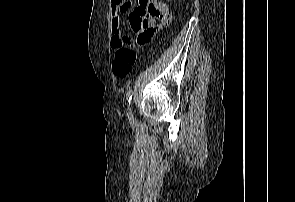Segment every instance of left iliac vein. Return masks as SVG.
Masks as SVG:
<instances>
[{
  "label": "left iliac vein",
  "instance_id": "1",
  "mask_svg": "<svg viewBox=\"0 0 295 202\" xmlns=\"http://www.w3.org/2000/svg\"><path fill=\"white\" fill-rule=\"evenodd\" d=\"M128 116L129 117H132V110H131V108H128Z\"/></svg>",
  "mask_w": 295,
  "mask_h": 202
}]
</instances>
